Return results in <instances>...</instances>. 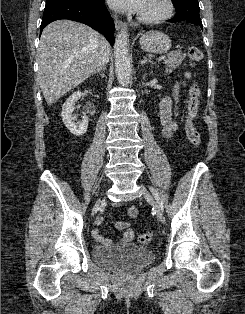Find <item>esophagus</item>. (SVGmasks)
Segmentation results:
<instances>
[{
  "mask_svg": "<svg viewBox=\"0 0 245 314\" xmlns=\"http://www.w3.org/2000/svg\"><path fill=\"white\" fill-rule=\"evenodd\" d=\"M115 27H116L117 30H125V31H127L126 24L123 23V22L120 21V20H116V21H115Z\"/></svg>",
  "mask_w": 245,
  "mask_h": 314,
  "instance_id": "1",
  "label": "esophagus"
}]
</instances>
